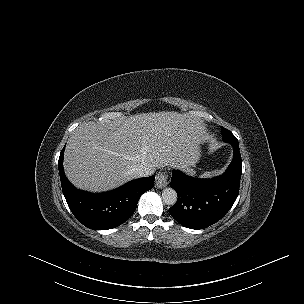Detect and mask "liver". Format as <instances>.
<instances>
[{"label":"liver","mask_w":304,"mask_h":304,"mask_svg":"<svg viewBox=\"0 0 304 304\" xmlns=\"http://www.w3.org/2000/svg\"><path fill=\"white\" fill-rule=\"evenodd\" d=\"M201 141L200 123L186 114L125 116L109 125L90 124L73 131L64 170L77 188L108 191L134 179L132 170L140 165L186 169L198 159Z\"/></svg>","instance_id":"1"}]
</instances>
